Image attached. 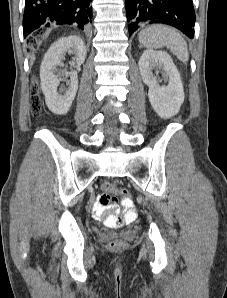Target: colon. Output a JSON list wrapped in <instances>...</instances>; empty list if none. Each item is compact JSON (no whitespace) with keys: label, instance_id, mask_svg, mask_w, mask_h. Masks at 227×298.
Here are the masks:
<instances>
[{"label":"colon","instance_id":"5ec220e1","mask_svg":"<svg viewBox=\"0 0 227 298\" xmlns=\"http://www.w3.org/2000/svg\"><path fill=\"white\" fill-rule=\"evenodd\" d=\"M28 44L30 47H34L36 44V39L29 38ZM30 106H31L32 114L34 116H38L41 113L42 105H41L40 97L37 94L36 88H33L32 90ZM103 189L105 193H103L102 196L100 197L99 203L102 206V208L105 210V214H107L105 217V224L109 227H117L121 225L124 222V220H121L114 215L116 211H115V206L110 205V200H111L110 194L114 193V194L123 195L124 206L127 208H130L133 206L132 198L126 190L118 188L110 182H105L103 184ZM108 246L110 249L114 251H119V250H123L126 247V243L123 240L114 239L109 242Z\"/></svg>","mask_w":227,"mask_h":298}]
</instances>
